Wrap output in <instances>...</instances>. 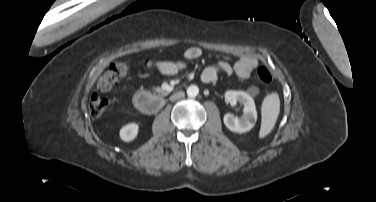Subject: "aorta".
<instances>
[{"instance_id":"1","label":"aorta","mask_w":376,"mask_h":202,"mask_svg":"<svg viewBox=\"0 0 376 202\" xmlns=\"http://www.w3.org/2000/svg\"><path fill=\"white\" fill-rule=\"evenodd\" d=\"M199 93V89L195 85H191L187 88V95L189 97H196Z\"/></svg>"}]
</instances>
